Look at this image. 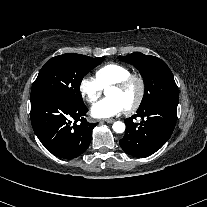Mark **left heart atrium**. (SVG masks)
Masks as SVG:
<instances>
[{"label": "left heart atrium", "mask_w": 207, "mask_h": 207, "mask_svg": "<svg viewBox=\"0 0 207 207\" xmlns=\"http://www.w3.org/2000/svg\"><path fill=\"white\" fill-rule=\"evenodd\" d=\"M126 106L117 98L99 100L91 107V115L98 119H107L125 112Z\"/></svg>", "instance_id": "left-heart-atrium-1"}]
</instances>
